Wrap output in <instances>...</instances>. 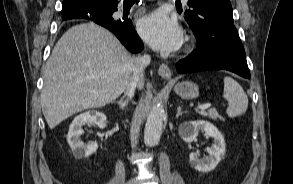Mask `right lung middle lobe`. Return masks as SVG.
<instances>
[{"label": "right lung middle lobe", "mask_w": 293, "mask_h": 184, "mask_svg": "<svg viewBox=\"0 0 293 184\" xmlns=\"http://www.w3.org/2000/svg\"><path fill=\"white\" fill-rule=\"evenodd\" d=\"M81 5L89 8V7L94 6V2L92 0H83V1H81Z\"/></svg>", "instance_id": "obj_1"}]
</instances>
